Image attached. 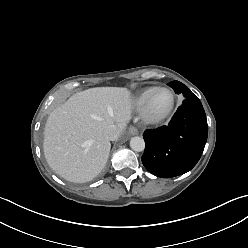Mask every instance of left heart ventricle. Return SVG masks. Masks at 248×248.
Listing matches in <instances>:
<instances>
[{
	"label": "left heart ventricle",
	"mask_w": 248,
	"mask_h": 248,
	"mask_svg": "<svg viewBox=\"0 0 248 248\" xmlns=\"http://www.w3.org/2000/svg\"><path fill=\"white\" fill-rule=\"evenodd\" d=\"M169 104V95L165 92H158L154 95L151 102V109L154 112L163 110Z\"/></svg>",
	"instance_id": "left-heart-ventricle-1"
}]
</instances>
